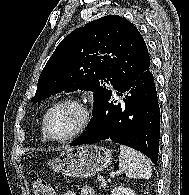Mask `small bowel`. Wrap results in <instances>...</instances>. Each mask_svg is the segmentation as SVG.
Wrapping results in <instances>:
<instances>
[{
    "label": "small bowel",
    "mask_w": 189,
    "mask_h": 195,
    "mask_svg": "<svg viewBox=\"0 0 189 195\" xmlns=\"http://www.w3.org/2000/svg\"><path fill=\"white\" fill-rule=\"evenodd\" d=\"M67 195H73V194H67ZM81 195H95V191L91 187H84L81 191Z\"/></svg>",
    "instance_id": "c3829d8e"
}]
</instances>
